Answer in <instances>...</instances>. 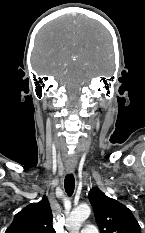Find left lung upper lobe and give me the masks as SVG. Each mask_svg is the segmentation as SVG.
<instances>
[{
	"label": "left lung upper lobe",
	"instance_id": "5c2ea615",
	"mask_svg": "<svg viewBox=\"0 0 145 233\" xmlns=\"http://www.w3.org/2000/svg\"><path fill=\"white\" fill-rule=\"evenodd\" d=\"M88 198L100 233H141L132 212L117 200L107 197L98 188L92 189Z\"/></svg>",
	"mask_w": 145,
	"mask_h": 233
}]
</instances>
